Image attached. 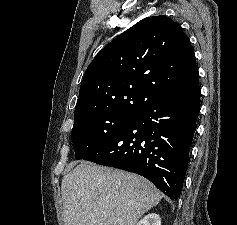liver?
<instances>
[{
    "mask_svg": "<svg viewBox=\"0 0 237 225\" xmlns=\"http://www.w3.org/2000/svg\"><path fill=\"white\" fill-rule=\"evenodd\" d=\"M65 225H135L162 198L147 179L81 162L61 183Z\"/></svg>",
    "mask_w": 237,
    "mask_h": 225,
    "instance_id": "obj_1",
    "label": "liver"
}]
</instances>
